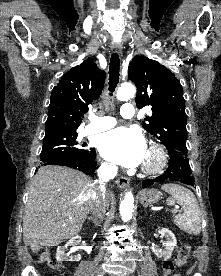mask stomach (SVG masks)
<instances>
[{
  "mask_svg": "<svg viewBox=\"0 0 221 276\" xmlns=\"http://www.w3.org/2000/svg\"><path fill=\"white\" fill-rule=\"evenodd\" d=\"M161 198L160 191L156 189H148L142 191L139 195L140 203L144 206L157 203Z\"/></svg>",
  "mask_w": 221,
  "mask_h": 276,
  "instance_id": "0dacf381",
  "label": "stomach"
}]
</instances>
